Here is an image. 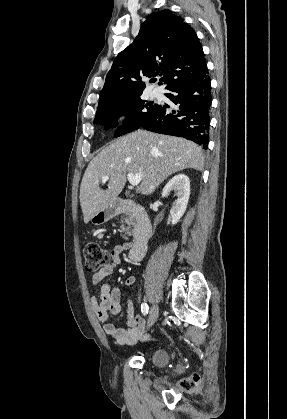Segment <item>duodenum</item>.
<instances>
[{
	"label": "duodenum",
	"mask_w": 287,
	"mask_h": 419,
	"mask_svg": "<svg viewBox=\"0 0 287 419\" xmlns=\"http://www.w3.org/2000/svg\"><path fill=\"white\" fill-rule=\"evenodd\" d=\"M113 213L130 212L136 220L134 241L129 251V259H141L146 251V246L152 235V222L145 208L130 199H115L112 203Z\"/></svg>",
	"instance_id": "duodenum-1"
}]
</instances>
